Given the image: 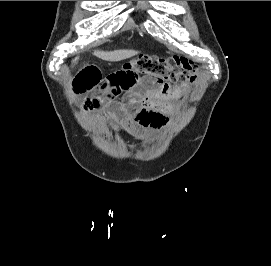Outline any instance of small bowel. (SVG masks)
Segmentation results:
<instances>
[{"instance_id": "1", "label": "small bowel", "mask_w": 271, "mask_h": 266, "mask_svg": "<svg viewBox=\"0 0 271 266\" xmlns=\"http://www.w3.org/2000/svg\"><path fill=\"white\" fill-rule=\"evenodd\" d=\"M71 90L82 98L84 113L97 112L96 121L110 123L135 138L163 127L176 111L183 89L138 70L124 67L103 76L96 65H88L73 78ZM122 100H116L120 94Z\"/></svg>"}]
</instances>
